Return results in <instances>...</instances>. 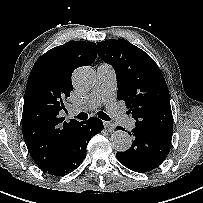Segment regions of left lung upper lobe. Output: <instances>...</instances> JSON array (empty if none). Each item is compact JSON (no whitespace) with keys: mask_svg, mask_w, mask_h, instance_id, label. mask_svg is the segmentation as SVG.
I'll return each instance as SVG.
<instances>
[{"mask_svg":"<svg viewBox=\"0 0 203 203\" xmlns=\"http://www.w3.org/2000/svg\"><path fill=\"white\" fill-rule=\"evenodd\" d=\"M97 46L99 57L115 69L117 99L125 101L135 127L172 137L169 91L155 61L127 40L109 39Z\"/></svg>","mask_w":203,"mask_h":203,"instance_id":"left-lung-upper-lobe-1","label":"left lung upper lobe"}]
</instances>
